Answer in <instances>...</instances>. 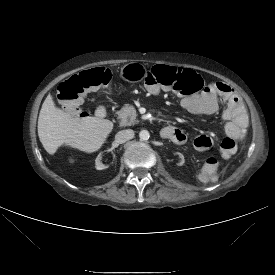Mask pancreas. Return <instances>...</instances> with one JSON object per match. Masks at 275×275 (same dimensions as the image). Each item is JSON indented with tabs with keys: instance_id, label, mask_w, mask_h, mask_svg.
<instances>
[{
	"instance_id": "1",
	"label": "pancreas",
	"mask_w": 275,
	"mask_h": 275,
	"mask_svg": "<svg viewBox=\"0 0 275 275\" xmlns=\"http://www.w3.org/2000/svg\"><path fill=\"white\" fill-rule=\"evenodd\" d=\"M117 115L121 126H131L138 122L136 109L132 105L126 104L117 112Z\"/></svg>"
}]
</instances>
